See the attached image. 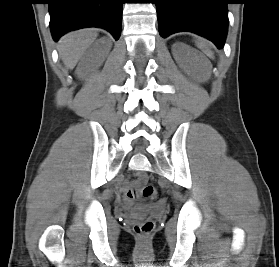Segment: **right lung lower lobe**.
I'll return each instance as SVG.
<instances>
[{
    "instance_id": "98d812e1",
    "label": "right lung lower lobe",
    "mask_w": 279,
    "mask_h": 267,
    "mask_svg": "<svg viewBox=\"0 0 279 267\" xmlns=\"http://www.w3.org/2000/svg\"><path fill=\"white\" fill-rule=\"evenodd\" d=\"M50 28L57 41L66 32L101 27L119 39L122 0H49Z\"/></svg>"
}]
</instances>
